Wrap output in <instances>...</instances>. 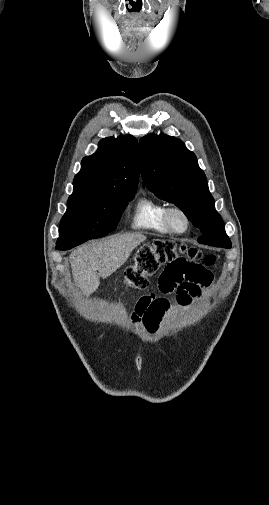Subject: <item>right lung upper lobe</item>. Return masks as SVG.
<instances>
[{
	"mask_svg": "<svg viewBox=\"0 0 269 505\" xmlns=\"http://www.w3.org/2000/svg\"><path fill=\"white\" fill-rule=\"evenodd\" d=\"M138 180L137 140L131 135L107 137L99 142L96 153L83 158L73 193H136Z\"/></svg>",
	"mask_w": 269,
	"mask_h": 505,
	"instance_id": "right-lung-upper-lobe-1",
	"label": "right lung upper lobe"
}]
</instances>
